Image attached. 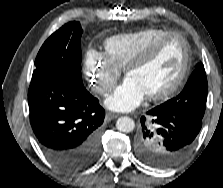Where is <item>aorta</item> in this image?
Wrapping results in <instances>:
<instances>
[{"mask_svg":"<svg viewBox=\"0 0 223 188\" xmlns=\"http://www.w3.org/2000/svg\"><path fill=\"white\" fill-rule=\"evenodd\" d=\"M116 127L121 132L129 133L134 130L135 123L134 120L130 117L124 116L118 118L116 121Z\"/></svg>","mask_w":223,"mask_h":188,"instance_id":"1","label":"aorta"}]
</instances>
